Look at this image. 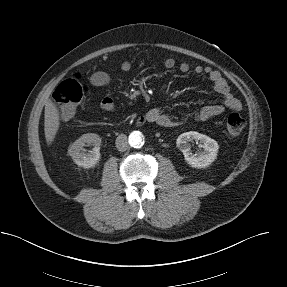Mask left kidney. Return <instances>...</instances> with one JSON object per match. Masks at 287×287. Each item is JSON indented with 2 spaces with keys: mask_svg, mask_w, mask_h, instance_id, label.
Here are the masks:
<instances>
[{
  "mask_svg": "<svg viewBox=\"0 0 287 287\" xmlns=\"http://www.w3.org/2000/svg\"><path fill=\"white\" fill-rule=\"evenodd\" d=\"M195 140L203 148L202 152L193 154L191 152L190 141ZM177 147L183 153L186 162L194 168H205L209 166L217 157L219 149L218 143L210 137L195 131H189L179 135L176 141Z\"/></svg>",
  "mask_w": 287,
  "mask_h": 287,
  "instance_id": "1",
  "label": "left kidney"
}]
</instances>
